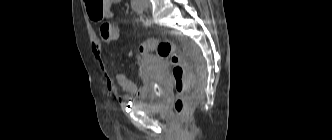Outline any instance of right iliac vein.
Here are the masks:
<instances>
[{"mask_svg": "<svg viewBox=\"0 0 332 140\" xmlns=\"http://www.w3.org/2000/svg\"><path fill=\"white\" fill-rule=\"evenodd\" d=\"M141 4H142V6H144V7H150V1L149 0H138Z\"/></svg>", "mask_w": 332, "mask_h": 140, "instance_id": "63e3f726", "label": "right iliac vein"}]
</instances>
